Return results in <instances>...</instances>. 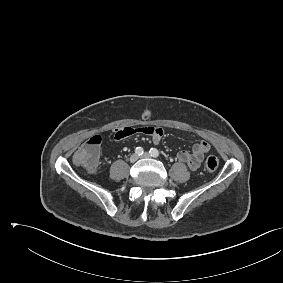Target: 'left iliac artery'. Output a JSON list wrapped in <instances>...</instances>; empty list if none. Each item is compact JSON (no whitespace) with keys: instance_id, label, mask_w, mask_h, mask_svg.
<instances>
[{"instance_id":"left-iliac-artery-1","label":"left iliac artery","mask_w":283,"mask_h":283,"mask_svg":"<svg viewBox=\"0 0 283 283\" xmlns=\"http://www.w3.org/2000/svg\"><path fill=\"white\" fill-rule=\"evenodd\" d=\"M149 153L152 157H158L159 156V151L156 148H151Z\"/></svg>"}]
</instances>
